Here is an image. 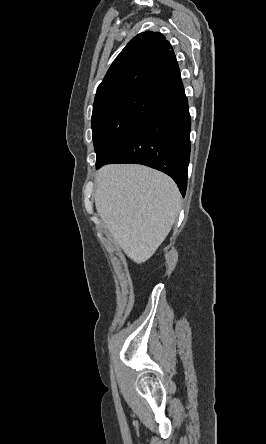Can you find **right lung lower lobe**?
<instances>
[{"mask_svg": "<svg viewBox=\"0 0 266 444\" xmlns=\"http://www.w3.org/2000/svg\"><path fill=\"white\" fill-rule=\"evenodd\" d=\"M191 119L185 93L164 102L139 127L96 165L142 164L162 171L176 182L182 196L187 187Z\"/></svg>", "mask_w": 266, "mask_h": 444, "instance_id": "right-lung-lower-lobe-1", "label": "right lung lower lobe"}]
</instances>
